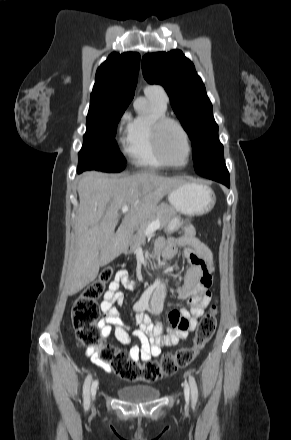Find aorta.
<instances>
[{"mask_svg":"<svg viewBox=\"0 0 291 440\" xmlns=\"http://www.w3.org/2000/svg\"><path fill=\"white\" fill-rule=\"evenodd\" d=\"M134 107L136 109V111L138 112H144L146 110V101L143 98H139L137 99V101L134 104ZM165 286L164 284L158 283L155 286V290L152 296V301H162V299L165 296Z\"/></svg>","mask_w":291,"mask_h":440,"instance_id":"obj_1","label":"aorta"}]
</instances>
